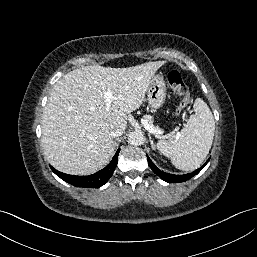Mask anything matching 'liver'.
<instances>
[{"label": "liver", "instance_id": "obj_1", "mask_svg": "<svg viewBox=\"0 0 257 257\" xmlns=\"http://www.w3.org/2000/svg\"><path fill=\"white\" fill-rule=\"evenodd\" d=\"M164 61L127 68L99 65L70 71L52 88L43 111L42 147L49 163L72 175H90L114 153L110 132L125 131L127 114L138 109ZM114 96L109 111L103 93Z\"/></svg>", "mask_w": 257, "mask_h": 257}]
</instances>
